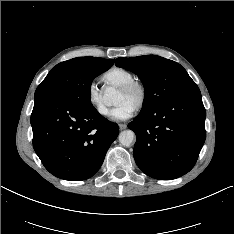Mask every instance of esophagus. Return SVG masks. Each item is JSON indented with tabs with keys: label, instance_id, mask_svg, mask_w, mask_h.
Listing matches in <instances>:
<instances>
[{
	"label": "esophagus",
	"instance_id": "esophagus-1",
	"mask_svg": "<svg viewBox=\"0 0 234 234\" xmlns=\"http://www.w3.org/2000/svg\"><path fill=\"white\" fill-rule=\"evenodd\" d=\"M119 128H120L121 130H124V129L127 128V125H126V124H119Z\"/></svg>",
	"mask_w": 234,
	"mask_h": 234
}]
</instances>
